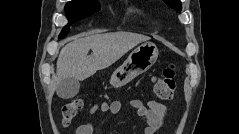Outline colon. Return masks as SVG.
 Segmentation results:
<instances>
[{"label":"colon","mask_w":239,"mask_h":134,"mask_svg":"<svg viewBox=\"0 0 239 134\" xmlns=\"http://www.w3.org/2000/svg\"><path fill=\"white\" fill-rule=\"evenodd\" d=\"M176 90V68L174 65L166 67L160 76L154 79V92L160 99H171ZM83 108V100L72 98L62 108V121L68 125Z\"/></svg>","instance_id":"1"}]
</instances>
